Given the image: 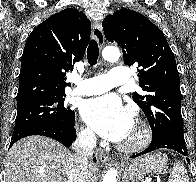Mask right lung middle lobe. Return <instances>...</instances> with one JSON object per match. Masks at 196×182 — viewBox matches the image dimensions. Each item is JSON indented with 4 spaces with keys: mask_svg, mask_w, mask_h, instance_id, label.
Masks as SVG:
<instances>
[{
    "mask_svg": "<svg viewBox=\"0 0 196 182\" xmlns=\"http://www.w3.org/2000/svg\"><path fill=\"white\" fill-rule=\"evenodd\" d=\"M64 96L38 98L17 104L15 128L41 121L75 125V112L64 104Z\"/></svg>",
    "mask_w": 196,
    "mask_h": 182,
    "instance_id": "1",
    "label": "right lung middle lobe"
}]
</instances>
